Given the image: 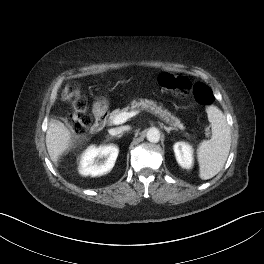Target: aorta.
I'll use <instances>...</instances> for the list:
<instances>
[{
	"mask_svg": "<svg viewBox=\"0 0 264 264\" xmlns=\"http://www.w3.org/2000/svg\"><path fill=\"white\" fill-rule=\"evenodd\" d=\"M147 140L152 143H157L160 140V132L157 128L152 127L147 131Z\"/></svg>",
	"mask_w": 264,
	"mask_h": 264,
	"instance_id": "aorta-1",
	"label": "aorta"
}]
</instances>
